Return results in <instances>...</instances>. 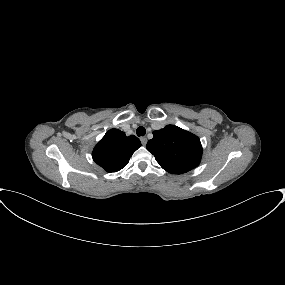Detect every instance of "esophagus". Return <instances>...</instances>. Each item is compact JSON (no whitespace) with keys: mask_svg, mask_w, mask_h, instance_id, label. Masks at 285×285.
Here are the masks:
<instances>
[{"mask_svg":"<svg viewBox=\"0 0 285 285\" xmlns=\"http://www.w3.org/2000/svg\"><path fill=\"white\" fill-rule=\"evenodd\" d=\"M140 141H141V143H142V145H146V143H147V138L146 137H141L140 138Z\"/></svg>","mask_w":285,"mask_h":285,"instance_id":"obj_1","label":"esophagus"}]
</instances>
